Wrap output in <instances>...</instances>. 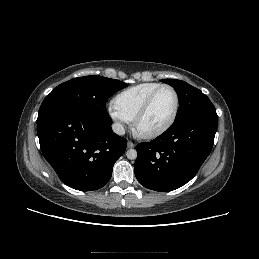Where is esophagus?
<instances>
[{
    "label": "esophagus",
    "instance_id": "obj_1",
    "mask_svg": "<svg viewBox=\"0 0 259 259\" xmlns=\"http://www.w3.org/2000/svg\"><path fill=\"white\" fill-rule=\"evenodd\" d=\"M127 147L128 148H133V147H135V144L133 142H131V141H128L127 142Z\"/></svg>",
    "mask_w": 259,
    "mask_h": 259
}]
</instances>
